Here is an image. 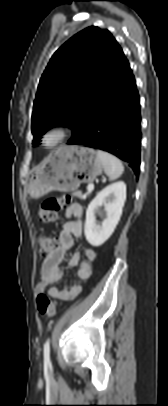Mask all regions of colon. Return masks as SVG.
<instances>
[{"label":"colon","mask_w":168,"mask_h":406,"mask_svg":"<svg viewBox=\"0 0 168 406\" xmlns=\"http://www.w3.org/2000/svg\"><path fill=\"white\" fill-rule=\"evenodd\" d=\"M70 196H53L47 198L38 210L39 220L43 223H50L58 218V213L62 208L68 205ZM57 245L54 237L49 235H42L39 238V252L40 256L47 258L51 255ZM37 310L40 314L53 317L56 314L55 303L44 293L37 296Z\"/></svg>","instance_id":"5ec220e1"}]
</instances>
